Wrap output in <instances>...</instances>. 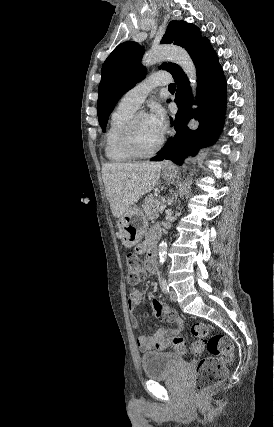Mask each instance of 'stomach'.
I'll list each match as a JSON object with an SVG mask.
<instances>
[{
	"label": "stomach",
	"instance_id": "1",
	"mask_svg": "<svg viewBox=\"0 0 274 427\" xmlns=\"http://www.w3.org/2000/svg\"><path fill=\"white\" fill-rule=\"evenodd\" d=\"M176 176V170H163V178L165 180H173ZM118 227V235L125 247H132V245H136L139 243L140 239H142L145 231H147L148 227V219H146V215L138 210V208H131L128 212L119 217L117 221Z\"/></svg>",
	"mask_w": 274,
	"mask_h": 427
}]
</instances>
